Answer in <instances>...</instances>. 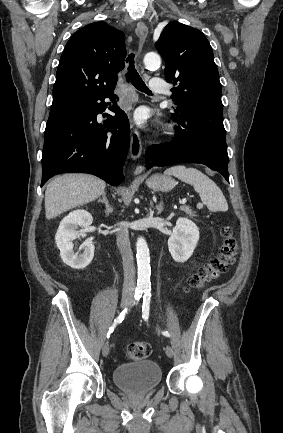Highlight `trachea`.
Instances as JSON below:
<instances>
[{
  "instance_id": "trachea-1",
  "label": "trachea",
  "mask_w": 283,
  "mask_h": 433,
  "mask_svg": "<svg viewBox=\"0 0 283 433\" xmlns=\"http://www.w3.org/2000/svg\"><path fill=\"white\" fill-rule=\"evenodd\" d=\"M134 54L132 53L129 55V57L126 59V62L129 63L128 71L125 74L127 82H131L137 90L140 92H144L147 94H151V91L148 89L146 84L143 82L142 78L138 74L135 65H134Z\"/></svg>"
}]
</instances>
